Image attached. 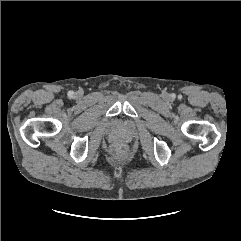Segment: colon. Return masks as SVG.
<instances>
[{
  "instance_id": "5ec220e1",
  "label": "colon",
  "mask_w": 241,
  "mask_h": 241,
  "mask_svg": "<svg viewBox=\"0 0 241 241\" xmlns=\"http://www.w3.org/2000/svg\"><path fill=\"white\" fill-rule=\"evenodd\" d=\"M112 151H113V154L116 156H120L123 152L122 148L119 146L114 147Z\"/></svg>"
}]
</instances>
